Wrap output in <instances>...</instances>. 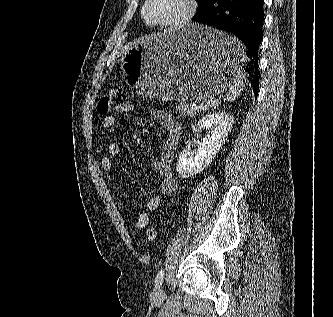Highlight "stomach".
I'll use <instances>...</instances> for the list:
<instances>
[{
  "mask_svg": "<svg viewBox=\"0 0 333 317\" xmlns=\"http://www.w3.org/2000/svg\"><path fill=\"white\" fill-rule=\"evenodd\" d=\"M229 29L209 24L168 29L128 47L121 69L128 84L145 98L198 101L235 88L246 45Z\"/></svg>",
  "mask_w": 333,
  "mask_h": 317,
  "instance_id": "obj_1",
  "label": "stomach"
}]
</instances>
